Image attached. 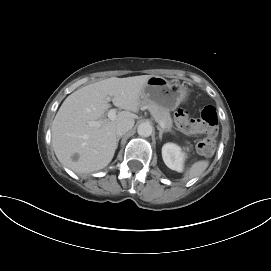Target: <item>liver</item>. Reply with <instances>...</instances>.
Masks as SVG:
<instances>
[{
	"label": "liver",
	"mask_w": 271,
	"mask_h": 271,
	"mask_svg": "<svg viewBox=\"0 0 271 271\" xmlns=\"http://www.w3.org/2000/svg\"><path fill=\"white\" fill-rule=\"evenodd\" d=\"M152 75L111 77L84 86L70 94L52 123V145L60 163L75 173H91L105 168L117 148L116 126L123 119H136L141 91ZM113 104L123 109L110 122L89 126L101 119ZM78 154L74 161L72 156Z\"/></svg>",
	"instance_id": "obj_1"
}]
</instances>
